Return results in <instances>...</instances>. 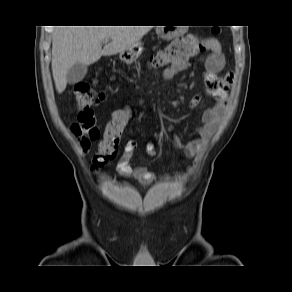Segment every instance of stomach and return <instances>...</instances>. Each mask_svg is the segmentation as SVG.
<instances>
[{"label": "stomach", "mask_w": 292, "mask_h": 292, "mask_svg": "<svg viewBox=\"0 0 292 292\" xmlns=\"http://www.w3.org/2000/svg\"><path fill=\"white\" fill-rule=\"evenodd\" d=\"M157 34L164 39H170L175 35V32L171 31L170 28L160 26L156 29ZM143 51V44L138 42L132 48L120 53L121 61L125 62L126 64H131L141 55Z\"/></svg>", "instance_id": "obj_1"}]
</instances>
